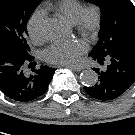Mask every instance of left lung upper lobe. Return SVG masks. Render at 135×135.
Returning a JSON list of instances; mask_svg holds the SVG:
<instances>
[{
    "label": "left lung upper lobe",
    "instance_id": "1",
    "mask_svg": "<svg viewBox=\"0 0 135 135\" xmlns=\"http://www.w3.org/2000/svg\"><path fill=\"white\" fill-rule=\"evenodd\" d=\"M102 9L99 41L90 55L105 57L118 49L135 50V6L129 0H86Z\"/></svg>",
    "mask_w": 135,
    "mask_h": 135
}]
</instances>
